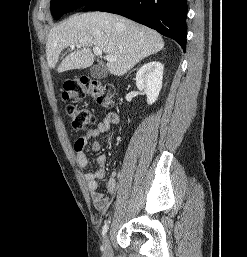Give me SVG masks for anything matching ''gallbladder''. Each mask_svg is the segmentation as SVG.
Listing matches in <instances>:
<instances>
[{
    "instance_id": "1",
    "label": "gallbladder",
    "mask_w": 247,
    "mask_h": 257,
    "mask_svg": "<svg viewBox=\"0 0 247 257\" xmlns=\"http://www.w3.org/2000/svg\"><path fill=\"white\" fill-rule=\"evenodd\" d=\"M90 74L93 78L103 79L107 76L108 70L103 64H96L91 67Z\"/></svg>"
}]
</instances>
